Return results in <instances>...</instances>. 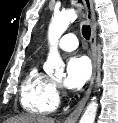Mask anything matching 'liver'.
<instances>
[{"mask_svg":"<svg viewBox=\"0 0 118 123\" xmlns=\"http://www.w3.org/2000/svg\"><path fill=\"white\" fill-rule=\"evenodd\" d=\"M5 123H55V120L44 116L23 115L11 118Z\"/></svg>","mask_w":118,"mask_h":123,"instance_id":"6515ba94","label":"liver"}]
</instances>
